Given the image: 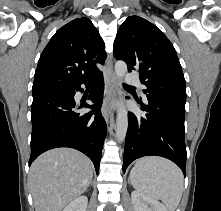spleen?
Here are the masks:
<instances>
[{"mask_svg":"<svg viewBox=\"0 0 221 211\" xmlns=\"http://www.w3.org/2000/svg\"><path fill=\"white\" fill-rule=\"evenodd\" d=\"M129 180L140 193L161 200L169 211H174L183 193V174L169 160L160 157H144L137 160Z\"/></svg>","mask_w":221,"mask_h":211,"instance_id":"3e777b00","label":"spleen"}]
</instances>
